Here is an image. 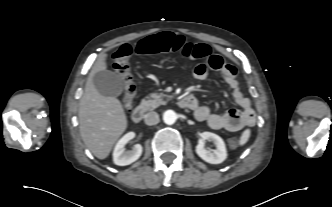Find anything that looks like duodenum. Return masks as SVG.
<instances>
[{
	"mask_svg": "<svg viewBox=\"0 0 332 207\" xmlns=\"http://www.w3.org/2000/svg\"><path fill=\"white\" fill-rule=\"evenodd\" d=\"M195 99L196 98L192 95H186L180 99L179 105L182 108L190 109L193 106V104L195 103ZM145 113H146V107L144 105L136 107L132 111V114H131V118H132L133 122H135V123L142 122L144 119Z\"/></svg>",
	"mask_w": 332,
	"mask_h": 207,
	"instance_id": "duodenum-1",
	"label": "duodenum"
}]
</instances>
